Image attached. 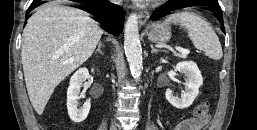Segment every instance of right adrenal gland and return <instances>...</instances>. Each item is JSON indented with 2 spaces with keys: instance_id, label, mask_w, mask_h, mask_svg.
Segmentation results:
<instances>
[{
  "instance_id": "obj_1",
  "label": "right adrenal gland",
  "mask_w": 257,
  "mask_h": 130,
  "mask_svg": "<svg viewBox=\"0 0 257 130\" xmlns=\"http://www.w3.org/2000/svg\"><path fill=\"white\" fill-rule=\"evenodd\" d=\"M101 47H102V43L99 42V43H98V48H97V50L95 51V54L100 53L101 55H103V52H102V50H101Z\"/></svg>"
}]
</instances>
